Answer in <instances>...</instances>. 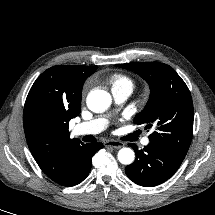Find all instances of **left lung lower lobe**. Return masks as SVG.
Wrapping results in <instances>:
<instances>
[{
	"label": "left lung lower lobe",
	"mask_w": 215,
	"mask_h": 215,
	"mask_svg": "<svg viewBox=\"0 0 215 215\" xmlns=\"http://www.w3.org/2000/svg\"><path fill=\"white\" fill-rule=\"evenodd\" d=\"M129 145L135 150L136 160L125 168V172L130 180L140 186L153 187L165 182L184 159L155 143L150 142L141 150L135 144Z\"/></svg>",
	"instance_id": "1"
}]
</instances>
